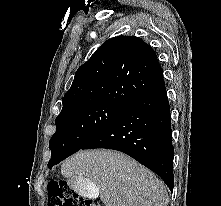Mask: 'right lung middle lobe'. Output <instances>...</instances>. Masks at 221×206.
I'll return each instance as SVG.
<instances>
[{"mask_svg": "<svg viewBox=\"0 0 221 206\" xmlns=\"http://www.w3.org/2000/svg\"><path fill=\"white\" fill-rule=\"evenodd\" d=\"M123 106L94 103L61 112L56 120V132L51 137V169L68 156L82 149L91 139L112 122Z\"/></svg>", "mask_w": 221, "mask_h": 206, "instance_id": "obj_1", "label": "right lung middle lobe"}]
</instances>
